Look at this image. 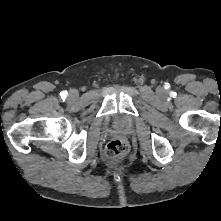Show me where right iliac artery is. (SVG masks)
<instances>
[{
  "instance_id": "82829eb1",
  "label": "right iliac artery",
  "mask_w": 221,
  "mask_h": 221,
  "mask_svg": "<svg viewBox=\"0 0 221 221\" xmlns=\"http://www.w3.org/2000/svg\"><path fill=\"white\" fill-rule=\"evenodd\" d=\"M61 97H62V98H65V97H66L64 92L61 94Z\"/></svg>"
}]
</instances>
